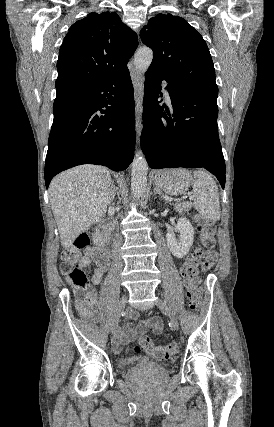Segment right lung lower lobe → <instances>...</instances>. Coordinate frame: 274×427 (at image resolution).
Masks as SVG:
<instances>
[{"label": "right lung lower lobe", "mask_w": 274, "mask_h": 427, "mask_svg": "<svg viewBox=\"0 0 274 427\" xmlns=\"http://www.w3.org/2000/svg\"><path fill=\"white\" fill-rule=\"evenodd\" d=\"M134 105L129 71L85 94L54 103L46 188L56 174L81 164L126 169L133 160L136 140Z\"/></svg>", "instance_id": "1"}]
</instances>
